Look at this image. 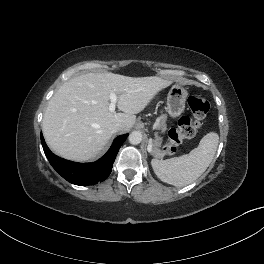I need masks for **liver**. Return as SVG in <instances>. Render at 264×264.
Returning <instances> with one entry per match:
<instances>
[{
	"label": "liver",
	"instance_id": "1",
	"mask_svg": "<svg viewBox=\"0 0 264 264\" xmlns=\"http://www.w3.org/2000/svg\"><path fill=\"white\" fill-rule=\"evenodd\" d=\"M172 81L157 76L128 77L114 73H87L65 82L50 99L42 120L46 143L57 155L78 162L95 158L113 135L112 126L130 130L141 112ZM117 94L110 112L109 95Z\"/></svg>",
	"mask_w": 264,
	"mask_h": 264
}]
</instances>
